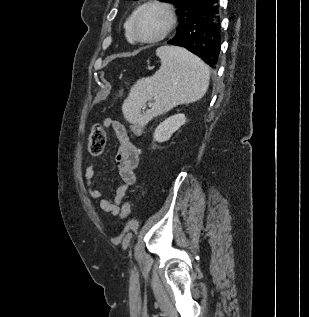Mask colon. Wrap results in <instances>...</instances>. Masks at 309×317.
Segmentation results:
<instances>
[{"label": "colon", "mask_w": 309, "mask_h": 317, "mask_svg": "<svg viewBox=\"0 0 309 317\" xmlns=\"http://www.w3.org/2000/svg\"><path fill=\"white\" fill-rule=\"evenodd\" d=\"M136 131L139 132L140 127H137ZM105 143H106V134H105L104 129L99 125H95L92 128L90 136H89L88 147H89V152L91 153V155L96 156V155L101 154L102 151L104 150ZM121 209H122L123 217L127 218L131 212L129 202H124L122 204Z\"/></svg>", "instance_id": "5ec220e1"}]
</instances>
